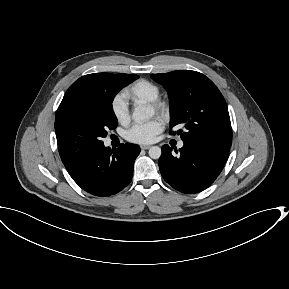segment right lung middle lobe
<instances>
[{
  "label": "right lung middle lobe",
  "instance_id": "right-lung-middle-lobe-1",
  "mask_svg": "<svg viewBox=\"0 0 289 289\" xmlns=\"http://www.w3.org/2000/svg\"><path fill=\"white\" fill-rule=\"evenodd\" d=\"M137 78L135 74H113L91 94L88 104L56 116L55 131L64 165L103 145L102 138L107 136V131L118 125L112 109L115 95Z\"/></svg>",
  "mask_w": 289,
  "mask_h": 289
}]
</instances>
